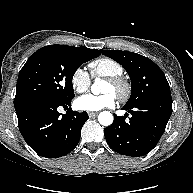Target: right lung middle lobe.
Wrapping results in <instances>:
<instances>
[{
    "mask_svg": "<svg viewBox=\"0 0 193 193\" xmlns=\"http://www.w3.org/2000/svg\"><path fill=\"white\" fill-rule=\"evenodd\" d=\"M95 57L66 45L40 48L20 70L14 99L15 110L42 98L71 101L74 98V73L83 63Z\"/></svg>",
    "mask_w": 193,
    "mask_h": 193,
    "instance_id": "1",
    "label": "right lung middle lobe"
}]
</instances>
